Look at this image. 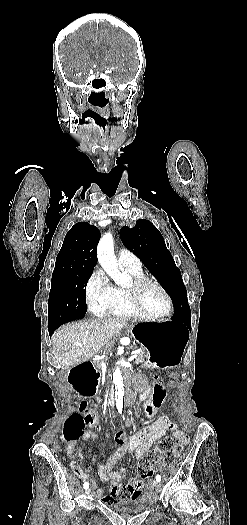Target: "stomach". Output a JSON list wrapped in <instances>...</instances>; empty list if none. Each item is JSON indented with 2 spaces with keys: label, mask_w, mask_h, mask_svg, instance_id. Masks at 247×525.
<instances>
[{
  "label": "stomach",
  "mask_w": 247,
  "mask_h": 525,
  "mask_svg": "<svg viewBox=\"0 0 247 525\" xmlns=\"http://www.w3.org/2000/svg\"><path fill=\"white\" fill-rule=\"evenodd\" d=\"M131 333L149 351L147 365L161 369L179 365L189 339L187 327L174 321L137 323Z\"/></svg>",
  "instance_id": "obj_1"
}]
</instances>
